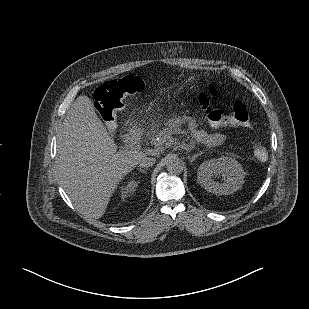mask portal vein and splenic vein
<instances>
[{
    "label": "portal vein and splenic vein",
    "instance_id": "obj_1",
    "mask_svg": "<svg viewBox=\"0 0 309 309\" xmlns=\"http://www.w3.org/2000/svg\"><path fill=\"white\" fill-rule=\"evenodd\" d=\"M165 141H166L165 139H157V142H156L155 146L158 147L161 144H164Z\"/></svg>",
    "mask_w": 309,
    "mask_h": 309
}]
</instances>
